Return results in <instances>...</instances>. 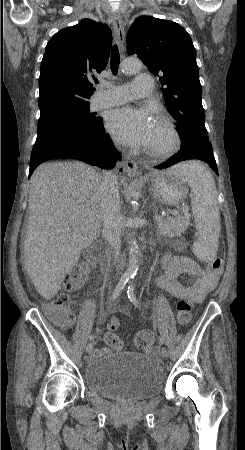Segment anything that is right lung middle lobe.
Returning a JSON list of instances; mask_svg holds the SVG:
<instances>
[{"instance_id": "1", "label": "right lung middle lobe", "mask_w": 245, "mask_h": 450, "mask_svg": "<svg viewBox=\"0 0 245 450\" xmlns=\"http://www.w3.org/2000/svg\"><path fill=\"white\" fill-rule=\"evenodd\" d=\"M97 120L90 113L89 104H59L41 109L34 150L65 138L87 135Z\"/></svg>"}]
</instances>
